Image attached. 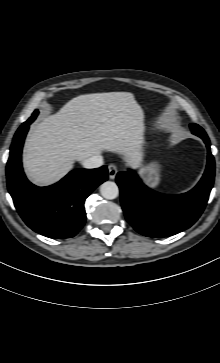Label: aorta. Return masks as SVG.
I'll list each match as a JSON object with an SVG mask.
<instances>
[{"instance_id": "obj_1", "label": "aorta", "mask_w": 220, "mask_h": 363, "mask_svg": "<svg viewBox=\"0 0 220 363\" xmlns=\"http://www.w3.org/2000/svg\"><path fill=\"white\" fill-rule=\"evenodd\" d=\"M101 195L108 200H112L118 197L119 188L115 182L106 181L100 186Z\"/></svg>"}]
</instances>
